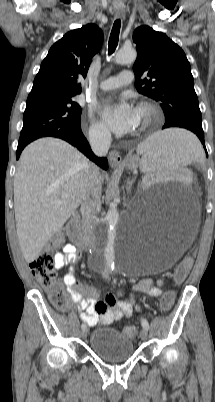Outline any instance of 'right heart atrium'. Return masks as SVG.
Masks as SVG:
<instances>
[{
	"instance_id": "right-heart-atrium-1",
	"label": "right heart atrium",
	"mask_w": 215,
	"mask_h": 402,
	"mask_svg": "<svg viewBox=\"0 0 215 402\" xmlns=\"http://www.w3.org/2000/svg\"><path fill=\"white\" fill-rule=\"evenodd\" d=\"M89 127L88 135L95 143H106L110 139V132L105 124L98 121L92 113H88Z\"/></svg>"
}]
</instances>
